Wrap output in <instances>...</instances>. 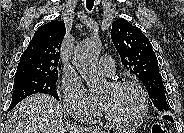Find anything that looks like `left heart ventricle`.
<instances>
[{
	"instance_id": "1",
	"label": "left heart ventricle",
	"mask_w": 184,
	"mask_h": 133,
	"mask_svg": "<svg viewBox=\"0 0 184 133\" xmlns=\"http://www.w3.org/2000/svg\"><path fill=\"white\" fill-rule=\"evenodd\" d=\"M98 99L106 113L117 119L132 118L141 109L140 96L131 87L113 88L106 84L98 91Z\"/></svg>"
}]
</instances>
